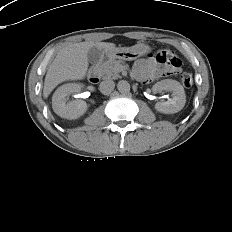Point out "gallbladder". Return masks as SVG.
Segmentation results:
<instances>
[{
    "instance_id": "bac80fb5",
    "label": "gallbladder",
    "mask_w": 232,
    "mask_h": 232,
    "mask_svg": "<svg viewBox=\"0 0 232 232\" xmlns=\"http://www.w3.org/2000/svg\"><path fill=\"white\" fill-rule=\"evenodd\" d=\"M87 57H88V61L91 64H97L102 57V52L101 50H99L97 47L94 46L88 51Z\"/></svg>"
}]
</instances>
